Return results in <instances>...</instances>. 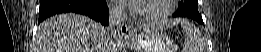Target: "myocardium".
Returning a JSON list of instances; mask_svg holds the SVG:
<instances>
[{"mask_svg": "<svg viewBox=\"0 0 261 52\" xmlns=\"http://www.w3.org/2000/svg\"><path fill=\"white\" fill-rule=\"evenodd\" d=\"M176 2H177L176 0H167V4L165 8L156 14L140 13L138 11L137 4L135 3L130 5V10L133 13V15L141 21L148 22V23H157L165 20L173 13Z\"/></svg>", "mask_w": 261, "mask_h": 52, "instance_id": "myocardium-1", "label": "myocardium"}]
</instances>
